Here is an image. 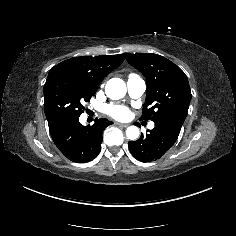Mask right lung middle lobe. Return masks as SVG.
Returning <instances> with one entry per match:
<instances>
[{"mask_svg":"<svg viewBox=\"0 0 236 236\" xmlns=\"http://www.w3.org/2000/svg\"><path fill=\"white\" fill-rule=\"evenodd\" d=\"M97 87L84 74L60 68L49 71L44 85V111L48 125L79 117L84 102H89Z\"/></svg>","mask_w":236,"mask_h":236,"instance_id":"1","label":"right lung middle lobe"}]
</instances>
